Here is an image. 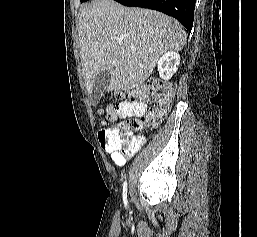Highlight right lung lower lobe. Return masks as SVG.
I'll use <instances>...</instances> for the list:
<instances>
[{
  "label": "right lung lower lobe",
  "instance_id": "right-lung-lower-lobe-1",
  "mask_svg": "<svg viewBox=\"0 0 257 237\" xmlns=\"http://www.w3.org/2000/svg\"><path fill=\"white\" fill-rule=\"evenodd\" d=\"M125 6L148 8L176 18L191 31L196 0H115Z\"/></svg>",
  "mask_w": 257,
  "mask_h": 237
}]
</instances>
